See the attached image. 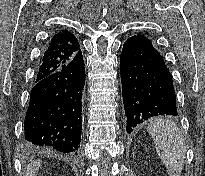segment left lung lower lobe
Instances as JSON below:
<instances>
[{"label": "left lung lower lobe", "instance_id": "obj_1", "mask_svg": "<svg viewBox=\"0 0 205 176\" xmlns=\"http://www.w3.org/2000/svg\"><path fill=\"white\" fill-rule=\"evenodd\" d=\"M120 67L127 133L153 116H177L172 76L148 38L140 34L128 38Z\"/></svg>", "mask_w": 205, "mask_h": 176}]
</instances>
